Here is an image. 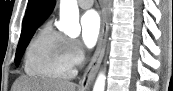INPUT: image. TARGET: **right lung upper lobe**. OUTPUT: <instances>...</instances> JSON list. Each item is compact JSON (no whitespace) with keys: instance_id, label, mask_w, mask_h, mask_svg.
Segmentation results:
<instances>
[{"instance_id":"1","label":"right lung upper lobe","mask_w":173,"mask_h":91,"mask_svg":"<svg viewBox=\"0 0 173 91\" xmlns=\"http://www.w3.org/2000/svg\"><path fill=\"white\" fill-rule=\"evenodd\" d=\"M54 6L55 0H29V6L23 21L22 32H28L39 27L50 15Z\"/></svg>"}]
</instances>
